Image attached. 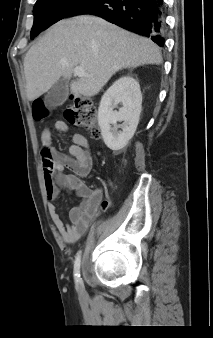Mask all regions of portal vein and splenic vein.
I'll return each instance as SVG.
<instances>
[{
	"mask_svg": "<svg viewBox=\"0 0 213 338\" xmlns=\"http://www.w3.org/2000/svg\"><path fill=\"white\" fill-rule=\"evenodd\" d=\"M74 74L78 77H87L89 76L82 67H75Z\"/></svg>",
	"mask_w": 213,
	"mask_h": 338,
	"instance_id": "1",
	"label": "portal vein and splenic vein"
}]
</instances>
